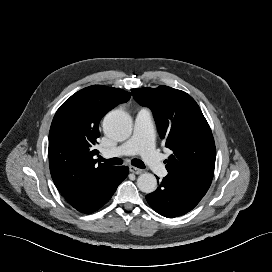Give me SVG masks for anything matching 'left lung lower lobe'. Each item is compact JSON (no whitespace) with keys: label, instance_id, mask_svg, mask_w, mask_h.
<instances>
[{"label":"left lung lower lobe","instance_id":"0a47b994","mask_svg":"<svg viewBox=\"0 0 272 272\" xmlns=\"http://www.w3.org/2000/svg\"><path fill=\"white\" fill-rule=\"evenodd\" d=\"M211 182L201 176L169 172L146 199L157 213L174 218L191 211L206 194Z\"/></svg>","mask_w":272,"mask_h":272}]
</instances>
